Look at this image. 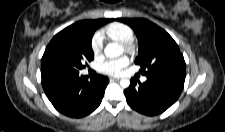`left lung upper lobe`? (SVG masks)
I'll return each mask as SVG.
<instances>
[{
    "instance_id": "left-lung-upper-lobe-1",
    "label": "left lung upper lobe",
    "mask_w": 225,
    "mask_h": 132,
    "mask_svg": "<svg viewBox=\"0 0 225 132\" xmlns=\"http://www.w3.org/2000/svg\"><path fill=\"white\" fill-rule=\"evenodd\" d=\"M128 24L139 41V55L135 60L146 76L185 77L186 64L173 38L156 24L141 18H117Z\"/></svg>"
}]
</instances>
